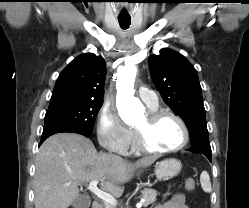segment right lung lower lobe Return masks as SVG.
<instances>
[{"label": "right lung lower lobe", "instance_id": "1", "mask_svg": "<svg viewBox=\"0 0 249 208\" xmlns=\"http://www.w3.org/2000/svg\"><path fill=\"white\" fill-rule=\"evenodd\" d=\"M61 132H72V133H78V134H82L86 137H89L90 135L81 132V131H77V130H73V129H68V128H63V127H56V126H50V127H45L42 133V138H41V142L40 145L51 135L56 134V133H61Z\"/></svg>", "mask_w": 249, "mask_h": 208}]
</instances>
